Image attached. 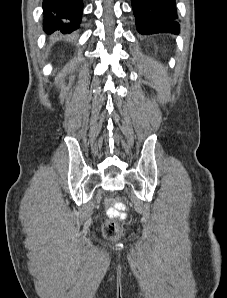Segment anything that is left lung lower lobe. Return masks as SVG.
<instances>
[{
  "instance_id": "0a47b994",
  "label": "left lung lower lobe",
  "mask_w": 227,
  "mask_h": 298,
  "mask_svg": "<svg viewBox=\"0 0 227 298\" xmlns=\"http://www.w3.org/2000/svg\"><path fill=\"white\" fill-rule=\"evenodd\" d=\"M131 3L139 33L179 34L175 0H131Z\"/></svg>"
}]
</instances>
